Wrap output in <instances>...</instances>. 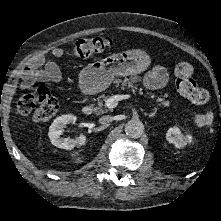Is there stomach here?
<instances>
[{
    "mask_svg": "<svg viewBox=\"0 0 221 221\" xmlns=\"http://www.w3.org/2000/svg\"><path fill=\"white\" fill-rule=\"evenodd\" d=\"M150 63V56L139 49L115 53L84 67L79 74V86L84 93L96 94L108 88L115 77L139 74Z\"/></svg>",
    "mask_w": 221,
    "mask_h": 221,
    "instance_id": "obj_1",
    "label": "stomach"
}]
</instances>
